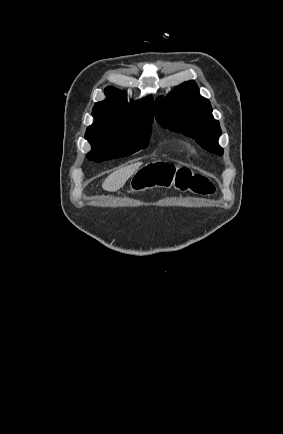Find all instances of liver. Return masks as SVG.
Masks as SVG:
<instances>
[{"label":"liver","instance_id":"liver-1","mask_svg":"<svg viewBox=\"0 0 283 434\" xmlns=\"http://www.w3.org/2000/svg\"><path fill=\"white\" fill-rule=\"evenodd\" d=\"M143 163L136 162L113 171L103 182L102 188L115 192L124 186L126 181L138 171Z\"/></svg>","mask_w":283,"mask_h":434}]
</instances>
